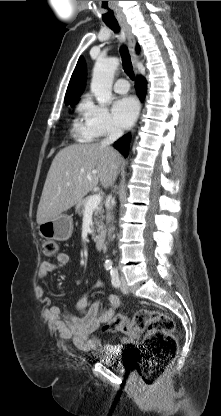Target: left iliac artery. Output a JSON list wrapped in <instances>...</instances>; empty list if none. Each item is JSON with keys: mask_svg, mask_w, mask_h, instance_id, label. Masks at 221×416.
Segmentation results:
<instances>
[{"mask_svg": "<svg viewBox=\"0 0 221 416\" xmlns=\"http://www.w3.org/2000/svg\"><path fill=\"white\" fill-rule=\"evenodd\" d=\"M110 275H111V282H112V285H113L114 287H119V286H120V280H119V275H118V271H117V269L113 268V269L110 271Z\"/></svg>", "mask_w": 221, "mask_h": 416, "instance_id": "obj_1", "label": "left iliac artery"}]
</instances>
